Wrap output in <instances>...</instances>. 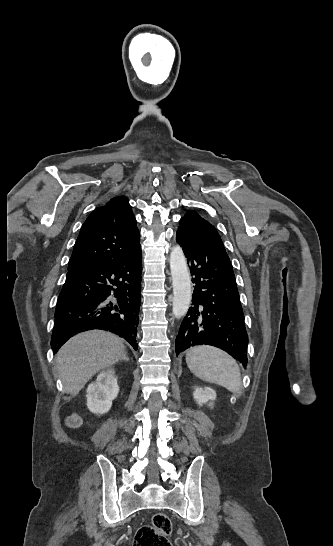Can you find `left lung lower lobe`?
I'll list each match as a JSON object with an SVG mask.
<instances>
[{
    "instance_id": "obj_1",
    "label": "left lung lower lobe",
    "mask_w": 333,
    "mask_h": 546,
    "mask_svg": "<svg viewBox=\"0 0 333 546\" xmlns=\"http://www.w3.org/2000/svg\"><path fill=\"white\" fill-rule=\"evenodd\" d=\"M176 240L184 250L195 283L192 307L176 337V353L208 344L247 363L248 335L237 284L225 249L208 242L181 222Z\"/></svg>"
}]
</instances>
